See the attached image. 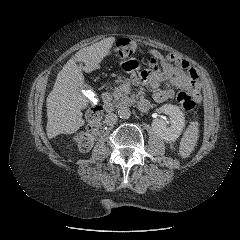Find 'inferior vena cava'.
Listing matches in <instances>:
<instances>
[{
    "instance_id": "inferior-vena-cava-1",
    "label": "inferior vena cava",
    "mask_w": 240,
    "mask_h": 240,
    "mask_svg": "<svg viewBox=\"0 0 240 240\" xmlns=\"http://www.w3.org/2000/svg\"><path fill=\"white\" fill-rule=\"evenodd\" d=\"M117 120H118V117H117L116 114H114V113H109V114H107V115L105 116V121H104V123H106V124L109 125V126H112V125H114V124L117 123Z\"/></svg>"
}]
</instances>
